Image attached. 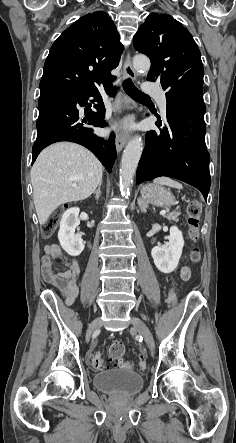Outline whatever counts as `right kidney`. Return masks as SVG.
Instances as JSON below:
<instances>
[{"instance_id":"1","label":"right kidney","mask_w":236,"mask_h":443,"mask_svg":"<svg viewBox=\"0 0 236 443\" xmlns=\"http://www.w3.org/2000/svg\"><path fill=\"white\" fill-rule=\"evenodd\" d=\"M79 212L78 207L70 208L64 212L60 221L58 239L62 248L71 256H79L85 248L83 239L75 235V229L80 224Z\"/></svg>"}]
</instances>
